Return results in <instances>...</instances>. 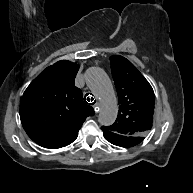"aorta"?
<instances>
[{"label":"aorta","instance_id":"1","mask_svg":"<svg viewBox=\"0 0 193 193\" xmlns=\"http://www.w3.org/2000/svg\"><path fill=\"white\" fill-rule=\"evenodd\" d=\"M86 83L102 104L98 121L101 125H111L118 113L117 98L107 74L98 67H91L86 72Z\"/></svg>","mask_w":193,"mask_h":193}]
</instances>
